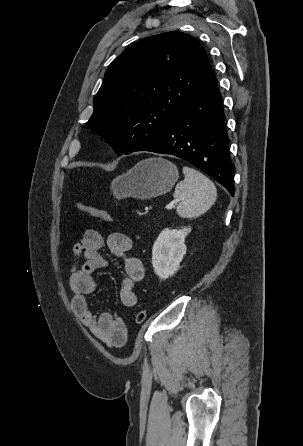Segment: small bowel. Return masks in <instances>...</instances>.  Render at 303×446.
I'll use <instances>...</instances> for the list:
<instances>
[{"label": "small bowel", "mask_w": 303, "mask_h": 446, "mask_svg": "<svg viewBox=\"0 0 303 446\" xmlns=\"http://www.w3.org/2000/svg\"><path fill=\"white\" fill-rule=\"evenodd\" d=\"M105 243L112 255L124 258L125 276L120 288V301L124 307L135 306L137 302L135 285L143 280L145 265L141 259L127 255L132 247L131 238L122 232H114L105 242L101 233L91 228L85 230L72 248L73 258L68 277L73 293L71 304L83 325L96 338L109 347L122 348L128 336L124 321L110 312L95 315L88 302V297L98 287L94 272L108 265L107 258L101 252Z\"/></svg>", "instance_id": "small-bowel-1"}]
</instances>
